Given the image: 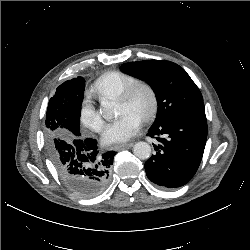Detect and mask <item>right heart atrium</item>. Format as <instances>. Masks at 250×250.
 I'll return each instance as SVG.
<instances>
[{
    "label": "right heart atrium",
    "mask_w": 250,
    "mask_h": 250,
    "mask_svg": "<svg viewBox=\"0 0 250 250\" xmlns=\"http://www.w3.org/2000/svg\"><path fill=\"white\" fill-rule=\"evenodd\" d=\"M79 118L81 124L91 131L98 132L102 129L103 121L96 111L93 100L89 96L82 101Z\"/></svg>",
    "instance_id": "1"
}]
</instances>
